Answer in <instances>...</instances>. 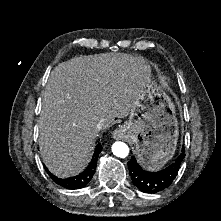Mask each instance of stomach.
I'll list each match as a JSON object with an SVG mask.
<instances>
[{
    "label": "stomach",
    "instance_id": "1",
    "mask_svg": "<svg viewBox=\"0 0 221 221\" xmlns=\"http://www.w3.org/2000/svg\"><path fill=\"white\" fill-rule=\"evenodd\" d=\"M123 128L145 168H159L174 155L179 135L175 106L168 95L159 91L150 73Z\"/></svg>",
    "mask_w": 221,
    "mask_h": 221
}]
</instances>
